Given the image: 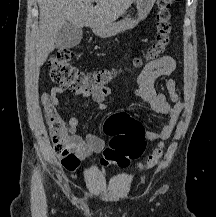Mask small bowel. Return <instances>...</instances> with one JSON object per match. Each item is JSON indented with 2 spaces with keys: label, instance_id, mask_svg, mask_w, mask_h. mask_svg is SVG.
<instances>
[{
  "label": "small bowel",
  "instance_id": "c3829d8e",
  "mask_svg": "<svg viewBox=\"0 0 216 217\" xmlns=\"http://www.w3.org/2000/svg\"><path fill=\"white\" fill-rule=\"evenodd\" d=\"M176 59L171 55L149 62L141 71L137 79V88L134 93L142 100L148 102L157 114L167 117L166 123L158 131H147L145 138L149 141L163 142L167 140L174 130L178 117L183 110L184 104L179 99L176 89V82L167 79L165 87L168 94L158 92L154 83L158 78L168 77L176 70ZM65 89L62 86H55L47 95L51 106L56 109L60 103V96ZM112 93L109 87H101L94 90H75L74 95L90 98L98 108H106V98ZM79 121L72 117L68 121V140L70 147L80 162H86L93 155L100 153L105 148L103 139L95 134L89 133L81 136L78 133Z\"/></svg>",
  "mask_w": 216,
  "mask_h": 217
}]
</instances>
